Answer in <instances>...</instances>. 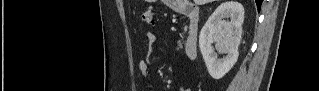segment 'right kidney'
Listing matches in <instances>:
<instances>
[{
    "label": "right kidney",
    "instance_id": "ca27d5eb",
    "mask_svg": "<svg viewBox=\"0 0 319 91\" xmlns=\"http://www.w3.org/2000/svg\"><path fill=\"white\" fill-rule=\"evenodd\" d=\"M228 18L230 22L224 20ZM243 20V6L231 0L218 6L203 26L199 35V47L212 78H222L237 62ZM213 41L220 53L227 54L226 57L217 59L211 46Z\"/></svg>",
    "mask_w": 319,
    "mask_h": 91
}]
</instances>
